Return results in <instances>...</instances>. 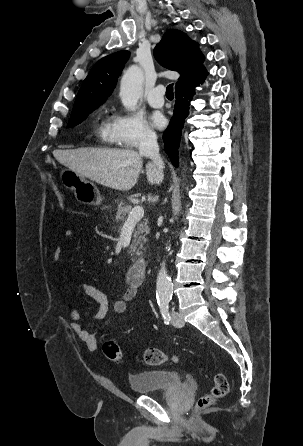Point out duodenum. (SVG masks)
<instances>
[{"label":"duodenum","instance_id":"1","mask_svg":"<svg viewBox=\"0 0 303 446\" xmlns=\"http://www.w3.org/2000/svg\"><path fill=\"white\" fill-rule=\"evenodd\" d=\"M147 260L143 257L138 258L129 268L128 280L133 285L142 283L145 277Z\"/></svg>","mask_w":303,"mask_h":446}]
</instances>
